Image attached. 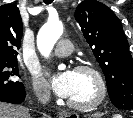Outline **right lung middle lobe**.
<instances>
[{
  "label": "right lung middle lobe",
  "instance_id": "right-lung-middle-lobe-1",
  "mask_svg": "<svg viewBox=\"0 0 133 118\" xmlns=\"http://www.w3.org/2000/svg\"><path fill=\"white\" fill-rule=\"evenodd\" d=\"M18 76V62L0 61V91L21 87L23 84L17 80Z\"/></svg>",
  "mask_w": 133,
  "mask_h": 118
}]
</instances>
